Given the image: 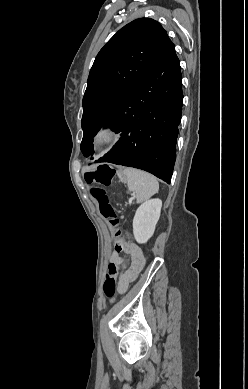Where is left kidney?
Listing matches in <instances>:
<instances>
[{
	"label": "left kidney",
	"mask_w": 248,
	"mask_h": 389,
	"mask_svg": "<svg viewBox=\"0 0 248 389\" xmlns=\"http://www.w3.org/2000/svg\"><path fill=\"white\" fill-rule=\"evenodd\" d=\"M161 207L160 199H151L137 209L133 219V234L138 243L144 244L153 236Z\"/></svg>",
	"instance_id": "left-kidney-1"
}]
</instances>
